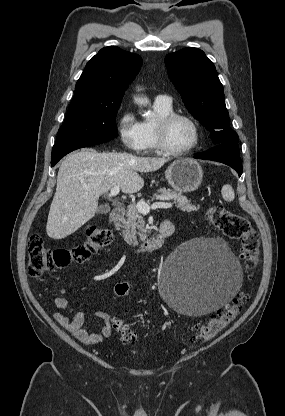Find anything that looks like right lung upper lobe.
<instances>
[{"mask_svg": "<svg viewBox=\"0 0 285 416\" xmlns=\"http://www.w3.org/2000/svg\"><path fill=\"white\" fill-rule=\"evenodd\" d=\"M142 65L139 55L116 46L101 49L87 63L76 83L73 100L105 102L121 100Z\"/></svg>", "mask_w": 285, "mask_h": 416, "instance_id": "right-lung-upper-lobe-1", "label": "right lung upper lobe"}]
</instances>
